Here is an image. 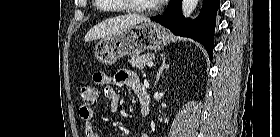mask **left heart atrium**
I'll list each match as a JSON object with an SVG mask.
<instances>
[{"mask_svg":"<svg viewBox=\"0 0 280 137\" xmlns=\"http://www.w3.org/2000/svg\"><path fill=\"white\" fill-rule=\"evenodd\" d=\"M156 4H163L166 3L168 0H153Z\"/></svg>","mask_w":280,"mask_h":137,"instance_id":"obj_1","label":"left heart atrium"}]
</instances>
